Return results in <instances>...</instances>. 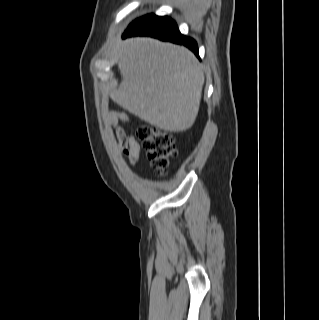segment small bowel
I'll use <instances>...</instances> for the list:
<instances>
[{
	"instance_id": "1",
	"label": "small bowel",
	"mask_w": 319,
	"mask_h": 320,
	"mask_svg": "<svg viewBox=\"0 0 319 320\" xmlns=\"http://www.w3.org/2000/svg\"><path fill=\"white\" fill-rule=\"evenodd\" d=\"M129 118L125 113H119L109 118L110 126H116L118 123L128 122ZM123 147L121 155L127 159L131 166H136L140 161L141 149L136 137L132 133H122Z\"/></svg>"
}]
</instances>
